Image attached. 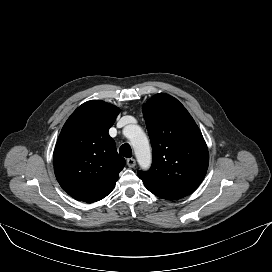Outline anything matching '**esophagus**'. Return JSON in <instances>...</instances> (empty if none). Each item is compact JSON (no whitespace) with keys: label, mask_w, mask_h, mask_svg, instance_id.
I'll return each instance as SVG.
<instances>
[{"label":"esophagus","mask_w":272,"mask_h":272,"mask_svg":"<svg viewBox=\"0 0 272 272\" xmlns=\"http://www.w3.org/2000/svg\"><path fill=\"white\" fill-rule=\"evenodd\" d=\"M127 165H128V167L133 168L136 165L135 159L134 158H128L127 159Z\"/></svg>","instance_id":"esophagus-1"}]
</instances>
